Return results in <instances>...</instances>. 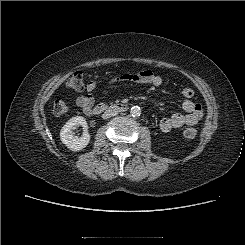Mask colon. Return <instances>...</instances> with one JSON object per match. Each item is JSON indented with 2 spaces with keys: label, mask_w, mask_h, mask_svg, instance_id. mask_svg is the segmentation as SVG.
I'll return each mask as SVG.
<instances>
[{
  "label": "colon",
  "mask_w": 245,
  "mask_h": 245,
  "mask_svg": "<svg viewBox=\"0 0 245 245\" xmlns=\"http://www.w3.org/2000/svg\"><path fill=\"white\" fill-rule=\"evenodd\" d=\"M66 87L73 91H82L84 89V76L80 72H75L72 74L67 82ZM181 94L185 98H191L193 96V90L190 88H184L181 91ZM52 111L55 115L60 116L65 114L68 111V106L65 101L57 99L53 103ZM197 134L195 128H186L183 131V135L185 138L191 139L194 138Z\"/></svg>",
  "instance_id": "colon-1"
}]
</instances>
